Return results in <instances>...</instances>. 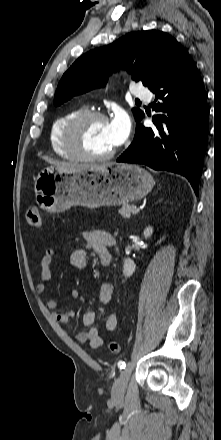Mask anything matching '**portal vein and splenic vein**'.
<instances>
[{
    "label": "portal vein and splenic vein",
    "instance_id": "obj_1",
    "mask_svg": "<svg viewBox=\"0 0 221 440\" xmlns=\"http://www.w3.org/2000/svg\"><path fill=\"white\" fill-rule=\"evenodd\" d=\"M139 211H140V209H138L137 207H135L132 213L135 215V214H138Z\"/></svg>",
    "mask_w": 221,
    "mask_h": 440
}]
</instances>
